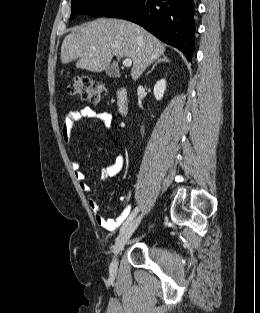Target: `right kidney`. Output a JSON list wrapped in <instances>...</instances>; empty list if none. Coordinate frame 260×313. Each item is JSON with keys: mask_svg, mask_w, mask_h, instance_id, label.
<instances>
[{"mask_svg": "<svg viewBox=\"0 0 260 313\" xmlns=\"http://www.w3.org/2000/svg\"><path fill=\"white\" fill-rule=\"evenodd\" d=\"M165 89H166L165 79H161V80L156 82L153 91H154L155 98L158 101L162 99L164 92H165Z\"/></svg>", "mask_w": 260, "mask_h": 313, "instance_id": "ca27d5eb", "label": "right kidney"}]
</instances>
